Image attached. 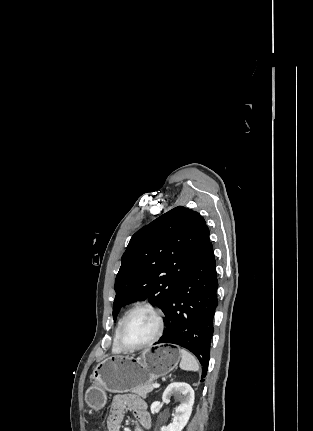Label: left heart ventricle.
I'll use <instances>...</instances> for the list:
<instances>
[{
	"mask_svg": "<svg viewBox=\"0 0 313 431\" xmlns=\"http://www.w3.org/2000/svg\"><path fill=\"white\" fill-rule=\"evenodd\" d=\"M157 326V319L151 311L140 310L126 325L122 340L127 346L141 345L155 335Z\"/></svg>",
	"mask_w": 313,
	"mask_h": 431,
	"instance_id": "obj_1",
	"label": "left heart ventricle"
}]
</instances>
